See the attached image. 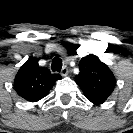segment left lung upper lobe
Returning <instances> with one entry per match:
<instances>
[{
	"mask_svg": "<svg viewBox=\"0 0 133 133\" xmlns=\"http://www.w3.org/2000/svg\"><path fill=\"white\" fill-rule=\"evenodd\" d=\"M80 73L75 82L86 98L94 104H102L113 92L116 79L109 67L95 55L83 57L79 63Z\"/></svg>",
	"mask_w": 133,
	"mask_h": 133,
	"instance_id": "1",
	"label": "left lung upper lobe"
}]
</instances>
